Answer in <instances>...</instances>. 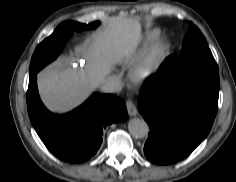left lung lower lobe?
Returning <instances> with one entry per match:
<instances>
[{
  "instance_id": "left-lung-lower-lobe-1",
  "label": "left lung lower lobe",
  "mask_w": 236,
  "mask_h": 182,
  "mask_svg": "<svg viewBox=\"0 0 236 182\" xmlns=\"http://www.w3.org/2000/svg\"><path fill=\"white\" fill-rule=\"evenodd\" d=\"M219 89L193 84L165 86L163 76L144 87L138 110L150 126L144 154L156 164L178 162L208 135Z\"/></svg>"
}]
</instances>
